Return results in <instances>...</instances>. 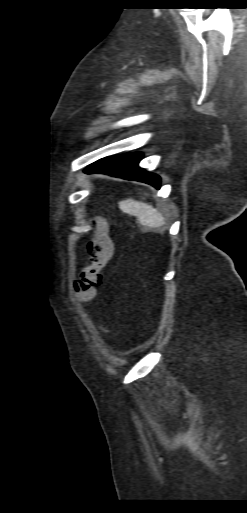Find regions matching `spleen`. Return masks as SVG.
<instances>
[{
	"label": "spleen",
	"mask_w": 247,
	"mask_h": 513,
	"mask_svg": "<svg viewBox=\"0 0 247 513\" xmlns=\"http://www.w3.org/2000/svg\"><path fill=\"white\" fill-rule=\"evenodd\" d=\"M119 208L125 213L136 216L143 226L155 228L163 223L162 214L145 202L130 198L119 202Z\"/></svg>",
	"instance_id": "obj_1"
}]
</instances>
